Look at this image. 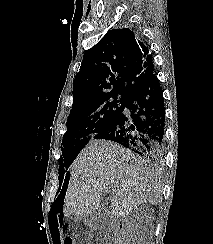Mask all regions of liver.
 <instances>
[{
  "instance_id": "obj_1",
  "label": "liver",
  "mask_w": 213,
  "mask_h": 244,
  "mask_svg": "<svg viewBox=\"0 0 213 244\" xmlns=\"http://www.w3.org/2000/svg\"><path fill=\"white\" fill-rule=\"evenodd\" d=\"M112 192L111 218L128 216L140 204L158 205L162 184L146 160L109 141L90 142L76 158L63 205L64 217H88Z\"/></svg>"
}]
</instances>
